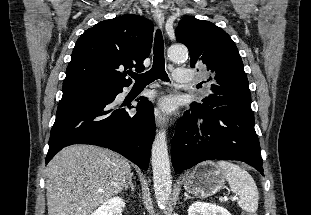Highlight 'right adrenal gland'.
Returning a JSON list of instances; mask_svg holds the SVG:
<instances>
[{
    "label": "right adrenal gland",
    "mask_w": 311,
    "mask_h": 215,
    "mask_svg": "<svg viewBox=\"0 0 311 215\" xmlns=\"http://www.w3.org/2000/svg\"><path fill=\"white\" fill-rule=\"evenodd\" d=\"M132 178H133V175L130 177L128 183L125 184V186H124V189H125V190H127L128 188H131V191H134V190H135L134 184H133V182H132Z\"/></svg>",
    "instance_id": "2a0ac1e0"
}]
</instances>
